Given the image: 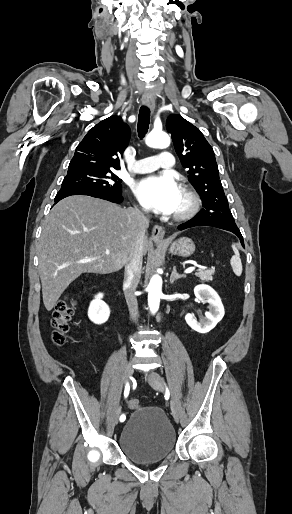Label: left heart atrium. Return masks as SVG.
Wrapping results in <instances>:
<instances>
[{
  "instance_id": "left-heart-atrium-1",
  "label": "left heart atrium",
  "mask_w": 292,
  "mask_h": 514,
  "mask_svg": "<svg viewBox=\"0 0 292 514\" xmlns=\"http://www.w3.org/2000/svg\"><path fill=\"white\" fill-rule=\"evenodd\" d=\"M135 195L144 208L157 213L176 210L181 188L174 176L168 173L149 176L137 183Z\"/></svg>"
}]
</instances>
